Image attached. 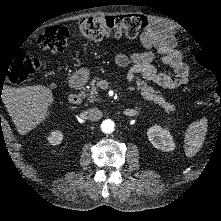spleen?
I'll list each match as a JSON object with an SVG mask.
<instances>
[{
  "label": "spleen",
  "instance_id": "spleen-1",
  "mask_svg": "<svg viewBox=\"0 0 221 221\" xmlns=\"http://www.w3.org/2000/svg\"><path fill=\"white\" fill-rule=\"evenodd\" d=\"M208 120L202 118L189 125L184 133V151L187 157H194L202 148L207 133Z\"/></svg>",
  "mask_w": 221,
  "mask_h": 221
}]
</instances>
